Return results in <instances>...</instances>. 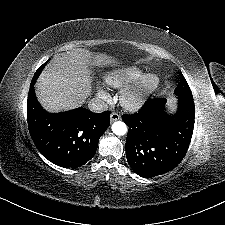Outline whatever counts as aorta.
<instances>
[{
    "label": "aorta",
    "mask_w": 225,
    "mask_h": 225,
    "mask_svg": "<svg viewBox=\"0 0 225 225\" xmlns=\"http://www.w3.org/2000/svg\"><path fill=\"white\" fill-rule=\"evenodd\" d=\"M111 129L114 134L119 135V136H123L127 133V126L122 121H115L112 124Z\"/></svg>",
    "instance_id": "762f6f07"
}]
</instances>
